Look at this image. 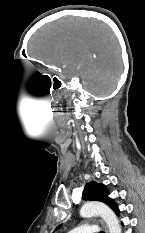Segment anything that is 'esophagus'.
<instances>
[{"instance_id": "obj_1", "label": "esophagus", "mask_w": 145, "mask_h": 233, "mask_svg": "<svg viewBox=\"0 0 145 233\" xmlns=\"http://www.w3.org/2000/svg\"><path fill=\"white\" fill-rule=\"evenodd\" d=\"M103 225H104V228H105V232L108 233V228H107V226H106L105 224H103Z\"/></svg>"}]
</instances>
